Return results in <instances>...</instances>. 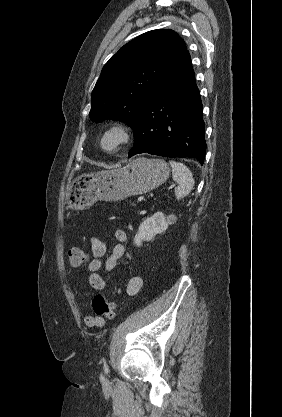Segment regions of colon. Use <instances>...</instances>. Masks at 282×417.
<instances>
[{
    "mask_svg": "<svg viewBox=\"0 0 282 417\" xmlns=\"http://www.w3.org/2000/svg\"><path fill=\"white\" fill-rule=\"evenodd\" d=\"M70 264L73 267H78L87 262V253L81 248H73L68 254ZM93 310L97 316H106L107 318L113 319L115 317V307L102 295H97L93 299Z\"/></svg>",
    "mask_w": 282,
    "mask_h": 417,
    "instance_id": "5ec220e1",
    "label": "colon"
}]
</instances>
